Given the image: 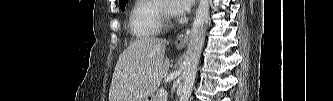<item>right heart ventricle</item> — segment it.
<instances>
[{
	"instance_id": "obj_1",
	"label": "right heart ventricle",
	"mask_w": 333,
	"mask_h": 101,
	"mask_svg": "<svg viewBox=\"0 0 333 101\" xmlns=\"http://www.w3.org/2000/svg\"><path fill=\"white\" fill-rule=\"evenodd\" d=\"M128 26L136 39L145 40L157 36L162 29L159 1L137 0L130 12Z\"/></svg>"
}]
</instances>
